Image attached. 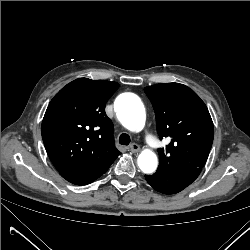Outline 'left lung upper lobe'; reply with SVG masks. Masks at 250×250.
<instances>
[{
	"label": "left lung upper lobe",
	"instance_id": "left-lung-upper-lobe-1",
	"mask_svg": "<svg viewBox=\"0 0 250 250\" xmlns=\"http://www.w3.org/2000/svg\"><path fill=\"white\" fill-rule=\"evenodd\" d=\"M156 114L160 139L171 142L159 148L158 169L202 168L214 136L209 111L199 96L179 83L156 84L145 88Z\"/></svg>",
	"mask_w": 250,
	"mask_h": 250
}]
</instances>
